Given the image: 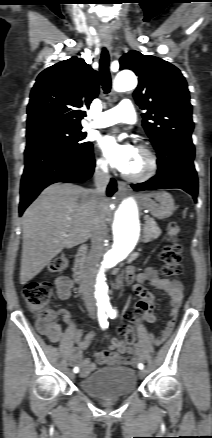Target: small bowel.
Instances as JSON below:
<instances>
[{"mask_svg": "<svg viewBox=\"0 0 212 438\" xmlns=\"http://www.w3.org/2000/svg\"><path fill=\"white\" fill-rule=\"evenodd\" d=\"M124 279L128 283L133 284V292L138 297L145 294H150L154 301L153 295L143 286L147 283L150 287L158 289L166 293L170 298V314L171 317L166 323L164 329L161 331L159 341H164L171 334L176 316L179 312L180 306L184 299L183 286L178 281H170L163 279L159 276L158 272L148 267L143 272L136 274L132 267L127 268L124 274ZM73 281L68 276H59L55 280V286L57 295L61 300H67L71 296L73 288ZM56 315L61 316L64 322L71 324V316L65 309H60L56 312ZM156 321L154 310L147 319V322L152 324ZM39 330L51 341L58 342L61 337L60 326L51 322H39ZM93 331L88 333L85 337H82L78 331H74V337L78 342V347L73 348L69 353V360L71 364H77L80 367V376L86 377L94 371L95 365L89 358H83L82 351L89 345L90 339L93 336ZM128 353L130 357H125L124 354ZM143 352L137 349H133L127 346L123 341L118 338H114L111 344L96 353V360L101 365H120V366H135L141 360H143Z\"/></svg>", "mask_w": 212, "mask_h": 438, "instance_id": "obj_1", "label": "small bowel"}]
</instances>
